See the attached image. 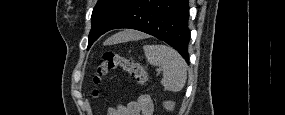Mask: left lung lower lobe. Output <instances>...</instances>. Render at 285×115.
Wrapping results in <instances>:
<instances>
[{"label": "left lung lower lobe", "mask_w": 285, "mask_h": 115, "mask_svg": "<svg viewBox=\"0 0 285 115\" xmlns=\"http://www.w3.org/2000/svg\"><path fill=\"white\" fill-rule=\"evenodd\" d=\"M188 0H132L110 23L107 31L136 29L165 41L188 62Z\"/></svg>", "instance_id": "0a47b994"}]
</instances>
